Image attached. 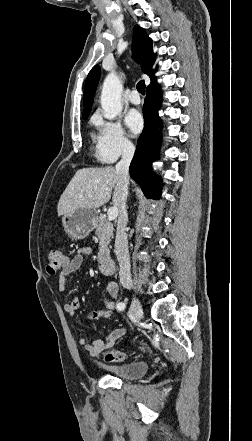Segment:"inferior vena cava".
Wrapping results in <instances>:
<instances>
[{"label": "inferior vena cava", "mask_w": 252, "mask_h": 441, "mask_svg": "<svg viewBox=\"0 0 252 441\" xmlns=\"http://www.w3.org/2000/svg\"><path fill=\"white\" fill-rule=\"evenodd\" d=\"M134 151L135 148L133 145H126L123 149L121 160L116 164V171L120 174L121 177L122 196L116 230L115 253L120 266V282L125 288L128 289L132 286V280L130 272L128 239L125 231L128 221L126 200L128 197L129 166L133 158Z\"/></svg>", "instance_id": "obj_1"}]
</instances>
